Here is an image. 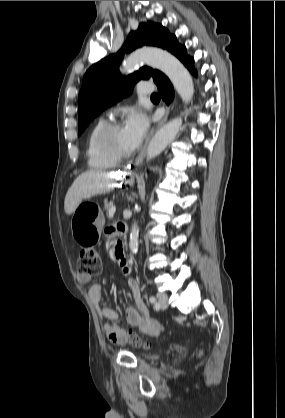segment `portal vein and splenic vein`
Returning <instances> with one entry per match:
<instances>
[{
  "label": "portal vein and splenic vein",
  "instance_id": "portal-vein-and-splenic-vein-1",
  "mask_svg": "<svg viewBox=\"0 0 285 418\" xmlns=\"http://www.w3.org/2000/svg\"><path fill=\"white\" fill-rule=\"evenodd\" d=\"M115 211H116V207L115 206H111V208L109 209V217H113Z\"/></svg>",
  "mask_w": 285,
  "mask_h": 418
}]
</instances>
